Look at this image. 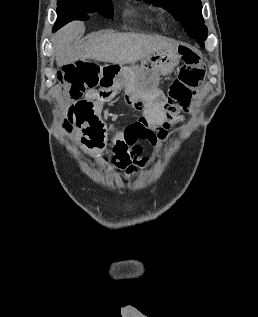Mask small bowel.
<instances>
[{"label":"small bowel","mask_w":258,"mask_h":317,"mask_svg":"<svg viewBox=\"0 0 258 317\" xmlns=\"http://www.w3.org/2000/svg\"><path fill=\"white\" fill-rule=\"evenodd\" d=\"M67 117L73 120L79 142L88 154L98 157L111 141V157L101 161L126 174L135 173L149 164V158L142 155L143 149L138 143L140 139L160 147L167 137L165 129L154 131L153 122L146 118L121 128L111 120V115L88 99L74 102Z\"/></svg>","instance_id":"c3829d8e"}]
</instances>
